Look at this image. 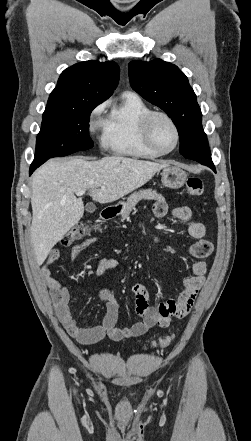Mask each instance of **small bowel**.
<instances>
[{"label":"small bowel","mask_w":251,"mask_h":441,"mask_svg":"<svg viewBox=\"0 0 251 441\" xmlns=\"http://www.w3.org/2000/svg\"><path fill=\"white\" fill-rule=\"evenodd\" d=\"M168 211V206L164 201L158 200L154 204L153 212L157 217H165ZM171 214L187 224L190 236L195 239V242L188 248V253L196 259L191 267L192 275L182 279L183 290L177 300L169 299L156 307L150 305L145 286L141 283L134 284L131 287V292L135 299L136 312L142 320L131 327H122L119 324V303L106 287H100L97 290L98 297L106 302V312L102 322L100 324L80 325L69 306L70 286L51 275L50 267L60 256L58 248L51 251L46 262L40 267L39 274L49 291L60 321L76 341L89 345L98 343L105 337L114 341L139 337L155 326L166 328L170 325L172 318H184L191 311L197 293L205 282L207 273L205 259L211 255L213 244L204 239L205 226L193 218L190 207H175L171 210ZM96 242L97 239L92 237L75 245L71 250V260H75L82 251ZM118 266L119 261L116 258L104 257L97 262L94 275L101 276Z\"/></svg>","instance_id":"small-bowel-1"}]
</instances>
